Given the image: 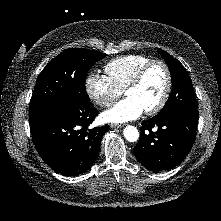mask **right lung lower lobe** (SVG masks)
<instances>
[{"mask_svg": "<svg viewBox=\"0 0 221 221\" xmlns=\"http://www.w3.org/2000/svg\"><path fill=\"white\" fill-rule=\"evenodd\" d=\"M98 114L89 102L85 105L62 103L30 121L34 145L54 171L73 176L85 173L100 150L102 136L109 126H89Z\"/></svg>", "mask_w": 221, "mask_h": 221, "instance_id": "98d812e1", "label": "right lung lower lobe"}]
</instances>
